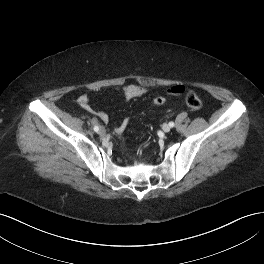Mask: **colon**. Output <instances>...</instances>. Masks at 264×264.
Wrapping results in <instances>:
<instances>
[{
  "instance_id": "obj_1",
  "label": "colon",
  "mask_w": 264,
  "mask_h": 264,
  "mask_svg": "<svg viewBox=\"0 0 264 264\" xmlns=\"http://www.w3.org/2000/svg\"><path fill=\"white\" fill-rule=\"evenodd\" d=\"M153 103L156 106H161L165 103V98L163 96H156L153 99ZM186 103L194 111H200L203 108L202 101L193 91H188L186 94Z\"/></svg>"
}]
</instances>
